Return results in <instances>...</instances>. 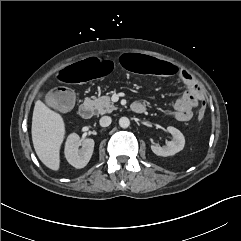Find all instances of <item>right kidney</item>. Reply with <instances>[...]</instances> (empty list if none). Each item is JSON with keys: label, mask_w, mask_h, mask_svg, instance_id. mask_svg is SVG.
<instances>
[{"label": "right kidney", "mask_w": 241, "mask_h": 241, "mask_svg": "<svg viewBox=\"0 0 241 241\" xmlns=\"http://www.w3.org/2000/svg\"><path fill=\"white\" fill-rule=\"evenodd\" d=\"M93 150V139H81L76 133H72L67 138L64 152L69 164L77 169H80L84 168L88 164Z\"/></svg>", "instance_id": "ca27d5eb"}]
</instances>
